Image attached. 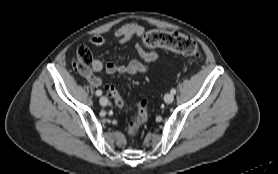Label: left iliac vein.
Listing matches in <instances>:
<instances>
[{
	"instance_id": "left-iliac-vein-1",
	"label": "left iliac vein",
	"mask_w": 278,
	"mask_h": 174,
	"mask_svg": "<svg viewBox=\"0 0 278 174\" xmlns=\"http://www.w3.org/2000/svg\"><path fill=\"white\" fill-rule=\"evenodd\" d=\"M173 100H174V96H173V94H171V93H167V94L164 96V101H165L167 104L172 103Z\"/></svg>"
}]
</instances>
